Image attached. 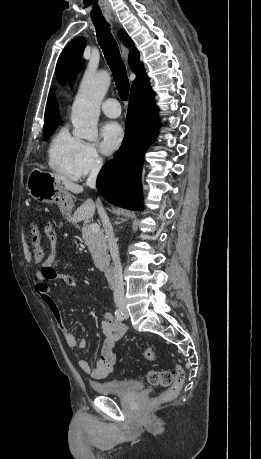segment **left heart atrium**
<instances>
[{
  "instance_id": "39dd6f15",
  "label": "left heart atrium",
  "mask_w": 261,
  "mask_h": 459,
  "mask_svg": "<svg viewBox=\"0 0 261 459\" xmlns=\"http://www.w3.org/2000/svg\"><path fill=\"white\" fill-rule=\"evenodd\" d=\"M124 131L117 122H106L101 128V147L106 155L114 153L122 144Z\"/></svg>"
}]
</instances>
